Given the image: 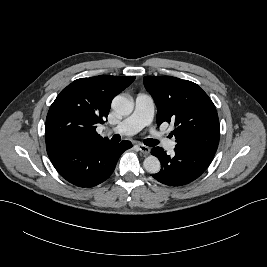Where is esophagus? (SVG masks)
<instances>
[{
    "mask_svg": "<svg viewBox=\"0 0 267 267\" xmlns=\"http://www.w3.org/2000/svg\"><path fill=\"white\" fill-rule=\"evenodd\" d=\"M137 147L145 155H148L149 152H150V148L145 146V145H143V144H138Z\"/></svg>",
    "mask_w": 267,
    "mask_h": 267,
    "instance_id": "1",
    "label": "esophagus"
}]
</instances>
